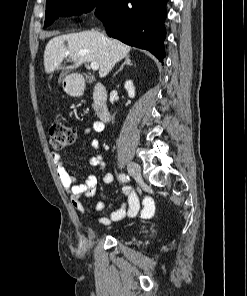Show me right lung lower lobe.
Listing matches in <instances>:
<instances>
[{
  "mask_svg": "<svg viewBox=\"0 0 247 296\" xmlns=\"http://www.w3.org/2000/svg\"><path fill=\"white\" fill-rule=\"evenodd\" d=\"M167 1L112 0L106 10L96 15L103 21L110 37L146 49L162 62Z\"/></svg>",
  "mask_w": 247,
  "mask_h": 296,
  "instance_id": "right-lung-lower-lobe-1",
  "label": "right lung lower lobe"
}]
</instances>
